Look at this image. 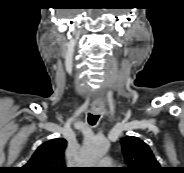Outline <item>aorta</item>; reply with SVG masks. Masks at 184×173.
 <instances>
[{
	"label": "aorta",
	"instance_id": "obj_1",
	"mask_svg": "<svg viewBox=\"0 0 184 173\" xmlns=\"http://www.w3.org/2000/svg\"><path fill=\"white\" fill-rule=\"evenodd\" d=\"M109 144L106 139L101 137H91L84 141L80 150L78 163L82 167H92L108 151Z\"/></svg>",
	"mask_w": 184,
	"mask_h": 173
}]
</instances>
